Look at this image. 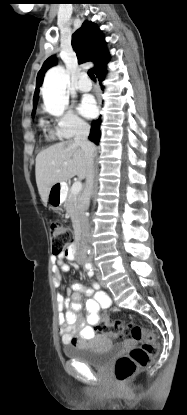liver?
I'll return each instance as SVG.
<instances>
[{
    "label": "liver",
    "instance_id": "1",
    "mask_svg": "<svg viewBox=\"0 0 187 415\" xmlns=\"http://www.w3.org/2000/svg\"><path fill=\"white\" fill-rule=\"evenodd\" d=\"M86 172L85 153L72 140L57 143L41 151L36 157L35 176L43 204H47L49 191L53 185L65 182L74 176L84 179Z\"/></svg>",
    "mask_w": 187,
    "mask_h": 415
}]
</instances>
